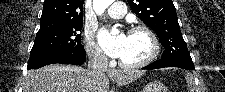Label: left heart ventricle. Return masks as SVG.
Returning a JSON list of instances; mask_svg holds the SVG:
<instances>
[{
  "label": "left heart ventricle",
  "instance_id": "b2bd125f",
  "mask_svg": "<svg viewBox=\"0 0 225 92\" xmlns=\"http://www.w3.org/2000/svg\"><path fill=\"white\" fill-rule=\"evenodd\" d=\"M151 50V41L145 33H128L124 51L120 59L126 63H137L147 58Z\"/></svg>",
  "mask_w": 225,
  "mask_h": 92
}]
</instances>
